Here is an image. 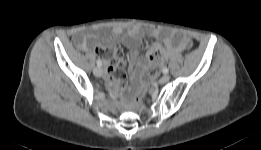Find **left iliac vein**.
I'll use <instances>...</instances> for the list:
<instances>
[{
    "label": "left iliac vein",
    "mask_w": 261,
    "mask_h": 150,
    "mask_svg": "<svg viewBox=\"0 0 261 150\" xmlns=\"http://www.w3.org/2000/svg\"><path fill=\"white\" fill-rule=\"evenodd\" d=\"M170 80V76L168 74H164L161 79L159 80V82L161 84L167 83Z\"/></svg>",
    "instance_id": "1"
}]
</instances>
